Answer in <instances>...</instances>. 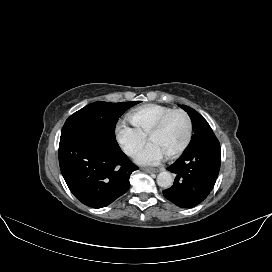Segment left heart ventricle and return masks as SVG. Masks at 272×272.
<instances>
[{
  "instance_id": "1",
  "label": "left heart ventricle",
  "mask_w": 272,
  "mask_h": 272,
  "mask_svg": "<svg viewBox=\"0 0 272 272\" xmlns=\"http://www.w3.org/2000/svg\"><path fill=\"white\" fill-rule=\"evenodd\" d=\"M187 134V122L182 114L173 115L165 126L150 138L166 155L174 152L184 142Z\"/></svg>"
}]
</instances>
